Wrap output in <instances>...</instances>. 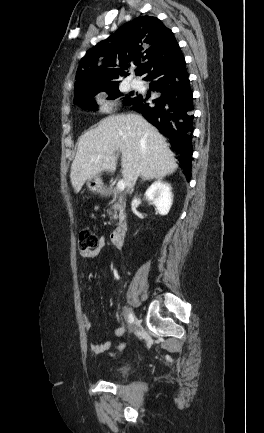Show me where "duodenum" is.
<instances>
[{
    "mask_svg": "<svg viewBox=\"0 0 264 433\" xmlns=\"http://www.w3.org/2000/svg\"><path fill=\"white\" fill-rule=\"evenodd\" d=\"M127 230L128 222L126 220H123L110 234L112 244L115 246H120L123 242Z\"/></svg>",
    "mask_w": 264,
    "mask_h": 433,
    "instance_id": "obj_1",
    "label": "duodenum"
}]
</instances>
